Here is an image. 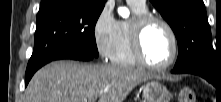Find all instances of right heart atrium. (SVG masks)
I'll list each match as a JSON object with an SVG mask.
<instances>
[{
	"label": "right heart atrium",
	"instance_id": "1",
	"mask_svg": "<svg viewBox=\"0 0 221 102\" xmlns=\"http://www.w3.org/2000/svg\"><path fill=\"white\" fill-rule=\"evenodd\" d=\"M119 32V21L112 8L106 4L96 16L92 26L95 48L103 59H110L114 53Z\"/></svg>",
	"mask_w": 221,
	"mask_h": 102
}]
</instances>
